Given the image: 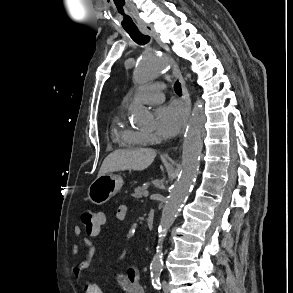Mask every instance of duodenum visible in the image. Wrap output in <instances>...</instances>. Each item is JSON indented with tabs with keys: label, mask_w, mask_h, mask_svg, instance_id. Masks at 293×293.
Returning a JSON list of instances; mask_svg holds the SVG:
<instances>
[{
	"label": "duodenum",
	"mask_w": 293,
	"mask_h": 293,
	"mask_svg": "<svg viewBox=\"0 0 293 293\" xmlns=\"http://www.w3.org/2000/svg\"><path fill=\"white\" fill-rule=\"evenodd\" d=\"M154 223H155V211L153 209H150L146 217L147 228L151 230L154 227Z\"/></svg>",
	"instance_id": "1"
}]
</instances>
